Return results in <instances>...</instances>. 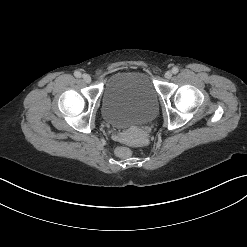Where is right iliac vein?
Segmentation results:
<instances>
[{"label":"right iliac vein","mask_w":247,"mask_h":247,"mask_svg":"<svg viewBox=\"0 0 247 247\" xmlns=\"http://www.w3.org/2000/svg\"><path fill=\"white\" fill-rule=\"evenodd\" d=\"M82 78H83V80H84L86 83H90V82H91V77H90V75H88V74H83V75H82Z\"/></svg>","instance_id":"obj_1"}]
</instances>
